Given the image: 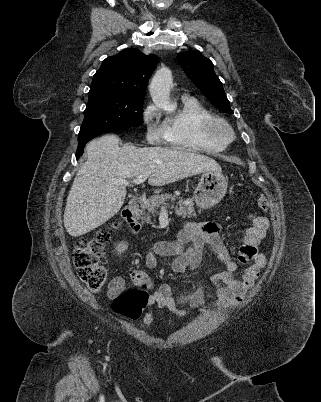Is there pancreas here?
Wrapping results in <instances>:
<instances>
[{"label":"pancreas","instance_id":"obj_1","mask_svg":"<svg viewBox=\"0 0 321 402\" xmlns=\"http://www.w3.org/2000/svg\"><path fill=\"white\" fill-rule=\"evenodd\" d=\"M176 196L172 194H161L148 198L141 204V210L139 215L142 216L141 219L143 222L151 223V214L155 216L158 214V208L162 207L165 204V201L171 200V202L175 201ZM194 203L191 198L187 200L179 199L177 202V206H175V213L177 216H181L182 218H191L196 216L194 211ZM174 208V206H172ZM147 211V213H146Z\"/></svg>","mask_w":321,"mask_h":402}]
</instances>
